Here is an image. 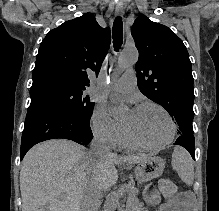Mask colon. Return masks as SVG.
Returning <instances> with one entry per match:
<instances>
[{
  "instance_id": "5ec220e1",
  "label": "colon",
  "mask_w": 219,
  "mask_h": 211,
  "mask_svg": "<svg viewBox=\"0 0 219 211\" xmlns=\"http://www.w3.org/2000/svg\"><path fill=\"white\" fill-rule=\"evenodd\" d=\"M159 187L168 202H173L175 200L176 187L171 180L162 179L159 183Z\"/></svg>"
}]
</instances>
